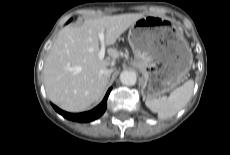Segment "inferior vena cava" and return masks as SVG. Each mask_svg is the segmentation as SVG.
Here are the masks:
<instances>
[{
  "label": "inferior vena cava",
  "mask_w": 230,
  "mask_h": 155,
  "mask_svg": "<svg viewBox=\"0 0 230 155\" xmlns=\"http://www.w3.org/2000/svg\"><path fill=\"white\" fill-rule=\"evenodd\" d=\"M105 73L110 77V75H111V70H108V69H107V70L105 71Z\"/></svg>",
  "instance_id": "obj_1"
}]
</instances>
